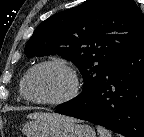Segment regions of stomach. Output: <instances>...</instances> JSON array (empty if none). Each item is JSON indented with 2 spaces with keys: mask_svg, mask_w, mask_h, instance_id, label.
<instances>
[{
  "mask_svg": "<svg viewBox=\"0 0 144 137\" xmlns=\"http://www.w3.org/2000/svg\"><path fill=\"white\" fill-rule=\"evenodd\" d=\"M26 137H96L87 124H77L72 119L30 121L22 128Z\"/></svg>",
  "mask_w": 144,
  "mask_h": 137,
  "instance_id": "1",
  "label": "stomach"
}]
</instances>
